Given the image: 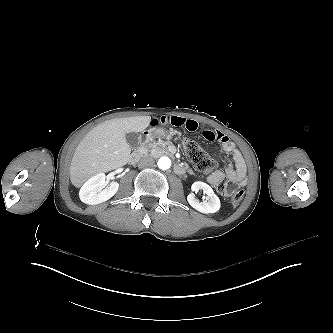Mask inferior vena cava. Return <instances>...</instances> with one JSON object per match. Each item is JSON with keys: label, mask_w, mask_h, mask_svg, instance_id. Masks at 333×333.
Returning <instances> with one entry per match:
<instances>
[{"label": "inferior vena cava", "mask_w": 333, "mask_h": 333, "mask_svg": "<svg viewBox=\"0 0 333 333\" xmlns=\"http://www.w3.org/2000/svg\"><path fill=\"white\" fill-rule=\"evenodd\" d=\"M154 164L155 160L152 157H143L138 162L139 167H148V166H153Z\"/></svg>", "instance_id": "inferior-vena-cava-1"}]
</instances>
